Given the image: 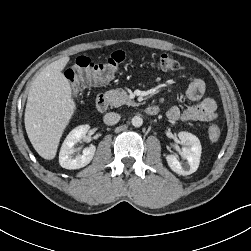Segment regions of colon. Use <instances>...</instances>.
I'll return each mask as SVG.
<instances>
[{"mask_svg":"<svg viewBox=\"0 0 251 251\" xmlns=\"http://www.w3.org/2000/svg\"><path fill=\"white\" fill-rule=\"evenodd\" d=\"M126 59L123 51H115L104 62H94L89 57L80 56L75 64L67 69L65 76L69 81L74 97L84 89L110 81ZM156 65L160 70L172 71L180 69L179 62L169 53L156 56ZM209 139L216 142L220 137V129L212 124L208 130Z\"/></svg>","mask_w":251,"mask_h":251,"instance_id":"1","label":"colon"}]
</instances>
